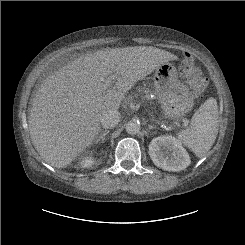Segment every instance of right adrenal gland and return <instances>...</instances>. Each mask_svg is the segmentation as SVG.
Wrapping results in <instances>:
<instances>
[{
  "instance_id": "1",
  "label": "right adrenal gland",
  "mask_w": 245,
  "mask_h": 245,
  "mask_svg": "<svg viewBox=\"0 0 245 245\" xmlns=\"http://www.w3.org/2000/svg\"><path fill=\"white\" fill-rule=\"evenodd\" d=\"M109 133V130H103L99 136L96 138V140L94 141V143L97 145L98 143H104V141L106 140L105 137L106 135Z\"/></svg>"
}]
</instances>
